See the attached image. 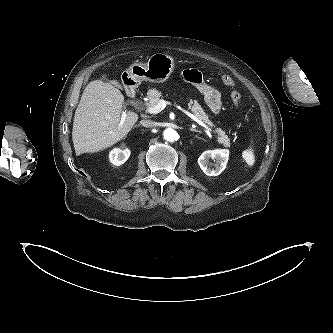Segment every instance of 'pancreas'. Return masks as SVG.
<instances>
[{"mask_svg": "<svg viewBox=\"0 0 333 333\" xmlns=\"http://www.w3.org/2000/svg\"><path fill=\"white\" fill-rule=\"evenodd\" d=\"M147 97L149 99V102L146 103L147 107H154L158 104L159 100L162 97V92L157 89H150L147 92ZM188 108L192 111V113L197 116L201 121L204 123H207L211 127L214 126V124L209 120L208 115L204 112L202 107L199 105L197 101H193L192 99H188ZM216 132L218 133V141L223 144L224 147L229 148L230 147V139L226 135V133L220 129L217 128Z\"/></svg>", "mask_w": 333, "mask_h": 333, "instance_id": "cf45deb5", "label": "pancreas"}]
</instances>
